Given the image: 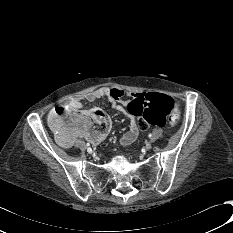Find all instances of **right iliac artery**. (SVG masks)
Listing matches in <instances>:
<instances>
[{"mask_svg":"<svg viewBox=\"0 0 233 233\" xmlns=\"http://www.w3.org/2000/svg\"><path fill=\"white\" fill-rule=\"evenodd\" d=\"M90 144L89 143H87V146H89ZM89 149H91L90 147H89ZM91 151H92V149H91Z\"/></svg>","mask_w":233,"mask_h":233,"instance_id":"82829eb1","label":"right iliac artery"}]
</instances>
